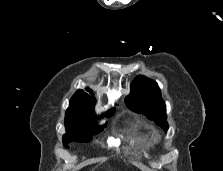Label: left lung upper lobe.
<instances>
[{
	"instance_id": "1",
	"label": "left lung upper lobe",
	"mask_w": 223,
	"mask_h": 171,
	"mask_svg": "<svg viewBox=\"0 0 223 171\" xmlns=\"http://www.w3.org/2000/svg\"><path fill=\"white\" fill-rule=\"evenodd\" d=\"M125 102L130 109L144 114L167 132L166 106L154 80L137 76L131 84L130 95L126 97Z\"/></svg>"
}]
</instances>
